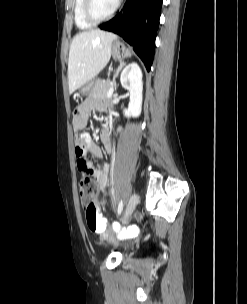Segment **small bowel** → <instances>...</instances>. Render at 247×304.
I'll return each mask as SVG.
<instances>
[{"instance_id":"small-bowel-1","label":"small bowel","mask_w":247,"mask_h":304,"mask_svg":"<svg viewBox=\"0 0 247 304\" xmlns=\"http://www.w3.org/2000/svg\"><path fill=\"white\" fill-rule=\"evenodd\" d=\"M93 109L104 111L106 110V106L102 102L88 100L78 108L74 109L73 118L78 119L73 121L74 132L82 131L86 126L88 116ZM100 138L106 150L111 151L113 149V142L107 129L101 131ZM73 143L76 146V157L79 169L82 172L92 174L96 180L98 188L103 194H105L108 184V166L104 165L102 168H97L87 157L88 153L95 157H101L102 153L100 148L88 133H78Z\"/></svg>"}]
</instances>
